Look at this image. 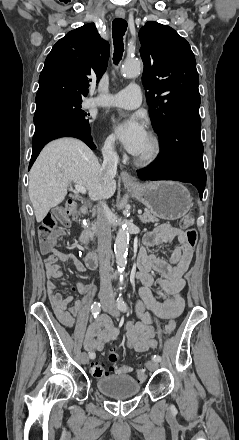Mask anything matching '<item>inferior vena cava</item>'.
Wrapping results in <instances>:
<instances>
[{"label":"inferior vena cava","instance_id":"1","mask_svg":"<svg viewBox=\"0 0 239 440\" xmlns=\"http://www.w3.org/2000/svg\"><path fill=\"white\" fill-rule=\"evenodd\" d=\"M115 140L108 138L105 142V146L102 150L103 164L100 168L102 172V180L104 182H110L116 176L117 164L119 156L115 152ZM110 210L106 202H98L97 204V238H98V256H99V270H100V292L101 307H116L114 299L116 296L113 294V288L109 274L111 272L110 260H111V224H110Z\"/></svg>","mask_w":239,"mask_h":440}]
</instances>
